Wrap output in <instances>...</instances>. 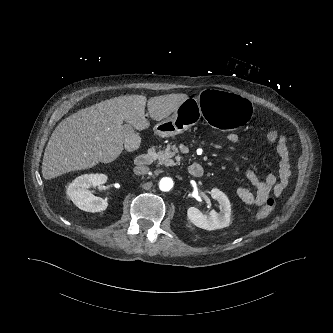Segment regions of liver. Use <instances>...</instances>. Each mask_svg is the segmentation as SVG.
Segmentation results:
<instances>
[{
    "label": "liver",
    "mask_w": 333,
    "mask_h": 333,
    "mask_svg": "<svg viewBox=\"0 0 333 333\" xmlns=\"http://www.w3.org/2000/svg\"><path fill=\"white\" fill-rule=\"evenodd\" d=\"M188 96L167 94L147 101L143 95L111 98L70 115L53 131L44 152L42 175L52 179L71 171L94 167L100 162L110 163L123 151V121L137 130L174 113Z\"/></svg>",
    "instance_id": "1"
}]
</instances>
